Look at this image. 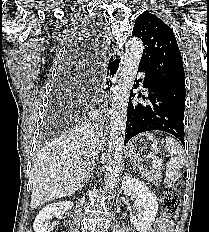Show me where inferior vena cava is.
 Here are the masks:
<instances>
[{
  "label": "inferior vena cava",
  "instance_id": "obj_1",
  "mask_svg": "<svg viewBox=\"0 0 209 232\" xmlns=\"http://www.w3.org/2000/svg\"><path fill=\"white\" fill-rule=\"evenodd\" d=\"M96 155H99L100 153H95Z\"/></svg>",
  "mask_w": 209,
  "mask_h": 232
}]
</instances>
